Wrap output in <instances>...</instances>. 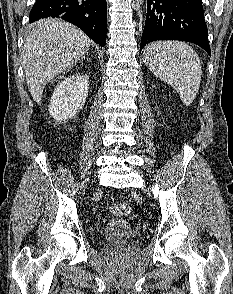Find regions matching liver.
Masks as SVG:
<instances>
[{
  "label": "liver",
  "instance_id": "obj_1",
  "mask_svg": "<svg viewBox=\"0 0 233 294\" xmlns=\"http://www.w3.org/2000/svg\"><path fill=\"white\" fill-rule=\"evenodd\" d=\"M91 40L74 25L47 18L31 26L24 41L23 66L36 103L47 82L65 72L89 50Z\"/></svg>",
  "mask_w": 233,
  "mask_h": 294
}]
</instances>
